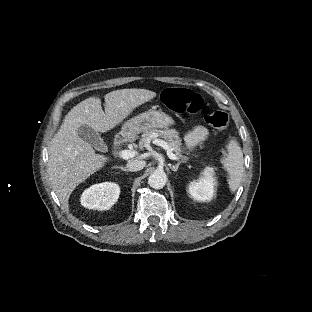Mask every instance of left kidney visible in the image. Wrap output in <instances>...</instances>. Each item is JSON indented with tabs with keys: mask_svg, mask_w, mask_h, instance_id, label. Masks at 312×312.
Returning <instances> with one entry per match:
<instances>
[{
	"mask_svg": "<svg viewBox=\"0 0 312 312\" xmlns=\"http://www.w3.org/2000/svg\"><path fill=\"white\" fill-rule=\"evenodd\" d=\"M216 184L214 169L206 167L198 180L189 183L187 192L195 201L210 202L215 195Z\"/></svg>",
	"mask_w": 312,
	"mask_h": 312,
	"instance_id": "obj_1",
	"label": "left kidney"
}]
</instances>
